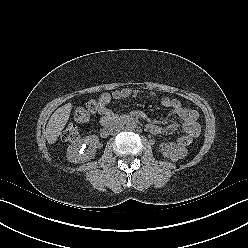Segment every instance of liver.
<instances>
[{
    "label": "liver",
    "instance_id": "liver-1",
    "mask_svg": "<svg viewBox=\"0 0 248 248\" xmlns=\"http://www.w3.org/2000/svg\"><path fill=\"white\" fill-rule=\"evenodd\" d=\"M71 109V103H67L59 107L50 117L45 132L49 144H54L57 141L61 131L69 120Z\"/></svg>",
    "mask_w": 248,
    "mask_h": 248
}]
</instances>
